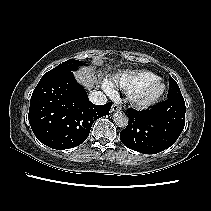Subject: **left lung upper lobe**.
<instances>
[{
  "label": "left lung upper lobe",
  "instance_id": "left-lung-upper-lobe-1",
  "mask_svg": "<svg viewBox=\"0 0 211 211\" xmlns=\"http://www.w3.org/2000/svg\"><path fill=\"white\" fill-rule=\"evenodd\" d=\"M181 91L178 86V84L172 79V77H169V90L167 98H173V97H181Z\"/></svg>",
  "mask_w": 211,
  "mask_h": 211
}]
</instances>
